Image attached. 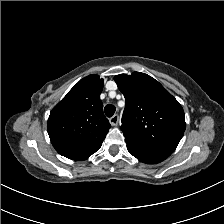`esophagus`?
<instances>
[{
    "label": "esophagus",
    "mask_w": 224,
    "mask_h": 224,
    "mask_svg": "<svg viewBox=\"0 0 224 224\" xmlns=\"http://www.w3.org/2000/svg\"><path fill=\"white\" fill-rule=\"evenodd\" d=\"M109 121H110V124L112 125V126H117L118 125V123H119V116L116 114V115H113L110 119H109Z\"/></svg>",
    "instance_id": "obj_1"
}]
</instances>
